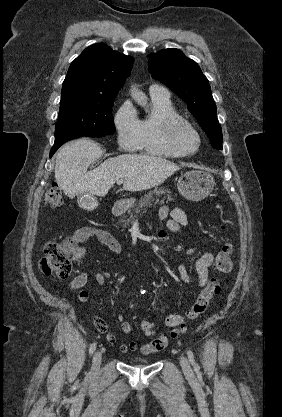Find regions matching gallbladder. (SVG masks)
I'll return each instance as SVG.
<instances>
[{
	"instance_id": "1",
	"label": "gallbladder",
	"mask_w": 282,
	"mask_h": 417,
	"mask_svg": "<svg viewBox=\"0 0 282 417\" xmlns=\"http://www.w3.org/2000/svg\"><path fill=\"white\" fill-rule=\"evenodd\" d=\"M78 204H82V202H88L89 198L88 196H85V194H78Z\"/></svg>"
}]
</instances>
